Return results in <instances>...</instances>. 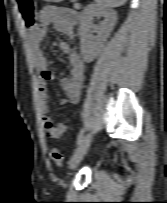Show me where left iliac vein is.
<instances>
[{
  "instance_id": "4c4485c4",
  "label": "left iliac vein",
  "mask_w": 167,
  "mask_h": 203,
  "mask_svg": "<svg viewBox=\"0 0 167 203\" xmlns=\"http://www.w3.org/2000/svg\"><path fill=\"white\" fill-rule=\"evenodd\" d=\"M91 139H92L91 133H88L83 137L82 141L76 148L74 154L72 155V157L69 161L70 169H73L82 160L83 156L85 155V153L90 145Z\"/></svg>"
}]
</instances>
